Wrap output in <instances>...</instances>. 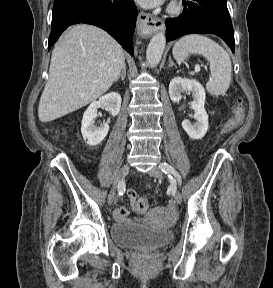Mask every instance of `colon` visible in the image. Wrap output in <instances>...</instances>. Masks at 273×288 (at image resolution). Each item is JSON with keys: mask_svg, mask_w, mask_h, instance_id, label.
Listing matches in <instances>:
<instances>
[{"mask_svg": "<svg viewBox=\"0 0 273 288\" xmlns=\"http://www.w3.org/2000/svg\"><path fill=\"white\" fill-rule=\"evenodd\" d=\"M245 114V105L242 99H237L231 116L225 121L221 128V135H226L235 130L243 121ZM149 207L145 199H136L134 209L137 213H145Z\"/></svg>", "mask_w": 273, "mask_h": 288, "instance_id": "colon-1", "label": "colon"}]
</instances>
